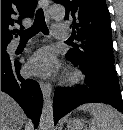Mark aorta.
Instances as JSON below:
<instances>
[{
	"mask_svg": "<svg viewBox=\"0 0 123 130\" xmlns=\"http://www.w3.org/2000/svg\"><path fill=\"white\" fill-rule=\"evenodd\" d=\"M49 15L56 20L63 19L65 16V8L62 5L54 4L49 9ZM53 128V105L50 92L47 91L40 116L39 130H53Z\"/></svg>",
	"mask_w": 123,
	"mask_h": 130,
	"instance_id": "762f6f07",
	"label": "aorta"
}]
</instances>
